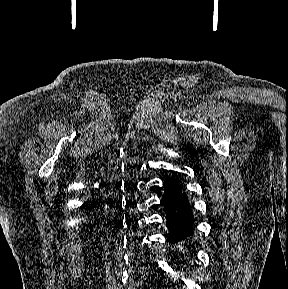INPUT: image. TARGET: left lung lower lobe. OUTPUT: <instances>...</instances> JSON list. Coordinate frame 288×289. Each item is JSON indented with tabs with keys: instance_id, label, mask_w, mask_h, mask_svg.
<instances>
[{
	"instance_id": "left-lung-lower-lobe-1",
	"label": "left lung lower lobe",
	"mask_w": 288,
	"mask_h": 289,
	"mask_svg": "<svg viewBox=\"0 0 288 289\" xmlns=\"http://www.w3.org/2000/svg\"><path fill=\"white\" fill-rule=\"evenodd\" d=\"M161 205L166 214L169 229V243H176L193 235L194 216L185 189L179 181L170 176L165 179Z\"/></svg>"
}]
</instances>
